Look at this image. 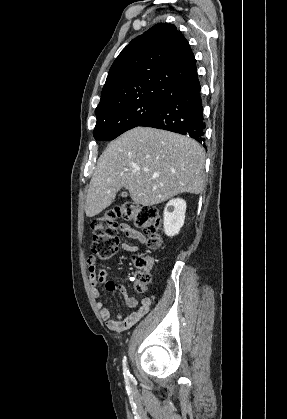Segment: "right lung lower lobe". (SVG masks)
Instances as JSON below:
<instances>
[{"label": "right lung lower lobe", "instance_id": "1", "mask_svg": "<svg viewBox=\"0 0 287 419\" xmlns=\"http://www.w3.org/2000/svg\"><path fill=\"white\" fill-rule=\"evenodd\" d=\"M200 91L199 86L171 97L139 126L164 129L190 136L198 142L204 141L205 122Z\"/></svg>", "mask_w": 287, "mask_h": 419}]
</instances>
